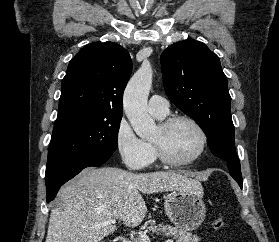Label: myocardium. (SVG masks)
<instances>
[{"instance_id": "f54148a6", "label": "myocardium", "mask_w": 279, "mask_h": 242, "mask_svg": "<svg viewBox=\"0 0 279 242\" xmlns=\"http://www.w3.org/2000/svg\"><path fill=\"white\" fill-rule=\"evenodd\" d=\"M179 121H185L190 123L198 132L200 137V145L196 153L186 160H176L172 158L165 149L163 143V136L167 133V131ZM158 130L160 133V139L152 140V144L156 151L158 158L166 165L173 166V167H183L188 166L195 161H197L205 152L207 144H208V136L203 128V126L193 117L184 114L172 115L170 117L165 118L162 120L158 126Z\"/></svg>"}]
</instances>
